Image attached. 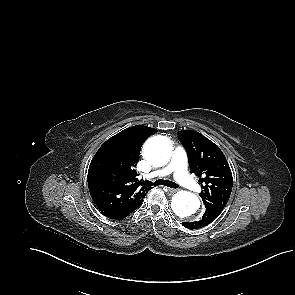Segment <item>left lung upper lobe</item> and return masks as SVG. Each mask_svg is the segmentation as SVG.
Here are the masks:
<instances>
[{"mask_svg":"<svg viewBox=\"0 0 295 295\" xmlns=\"http://www.w3.org/2000/svg\"><path fill=\"white\" fill-rule=\"evenodd\" d=\"M185 147L190 171L195 173L204 189L200 193L205 208L224 209L232 191L230 167L221 149L208 138L193 130L178 132Z\"/></svg>","mask_w":295,"mask_h":295,"instance_id":"1","label":"left lung upper lobe"}]
</instances>
